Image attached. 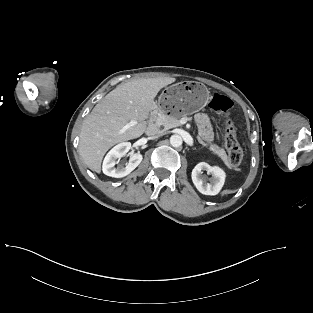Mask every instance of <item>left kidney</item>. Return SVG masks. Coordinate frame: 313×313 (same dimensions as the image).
<instances>
[{
    "instance_id": "1",
    "label": "left kidney",
    "mask_w": 313,
    "mask_h": 313,
    "mask_svg": "<svg viewBox=\"0 0 313 313\" xmlns=\"http://www.w3.org/2000/svg\"><path fill=\"white\" fill-rule=\"evenodd\" d=\"M204 170H206L208 174H212L210 183H207L202 175ZM191 177L195 187L200 193L205 195H216L224 185L225 172L217 166L211 167L205 162H200L192 170Z\"/></svg>"
}]
</instances>
